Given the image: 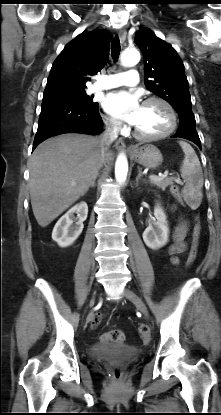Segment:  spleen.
<instances>
[{"label": "spleen", "instance_id": "1", "mask_svg": "<svg viewBox=\"0 0 221 415\" xmlns=\"http://www.w3.org/2000/svg\"><path fill=\"white\" fill-rule=\"evenodd\" d=\"M185 157L180 168L185 187L182 195L186 203L193 209L200 206L202 201L203 173L199 159L190 144L179 141Z\"/></svg>", "mask_w": 221, "mask_h": 415}]
</instances>
